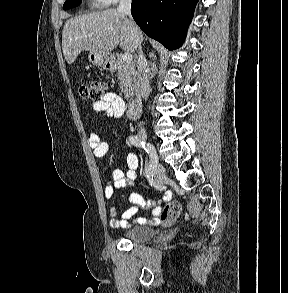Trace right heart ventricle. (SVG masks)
I'll list each match as a JSON object with an SVG mask.
<instances>
[{"instance_id": "right-heart-ventricle-1", "label": "right heart ventricle", "mask_w": 288, "mask_h": 293, "mask_svg": "<svg viewBox=\"0 0 288 293\" xmlns=\"http://www.w3.org/2000/svg\"><path fill=\"white\" fill-rule=\"evenodd\" d=\"M93 6H103L106 5L103 0H91Z\"/></svg>"}]
</instances>
